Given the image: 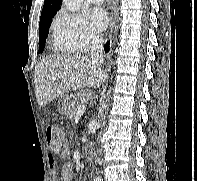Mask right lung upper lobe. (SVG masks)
<instances>
[{"instance_id": "obj_1", "label": "right lung upper lobe", "mask_w": 197, "mask_h": 181, "mask_svg": "<svg viewBox=\"0 0 197 181\" xmlns=\"http://www.w3.org/2000/svg\"><path fill=\"white\" fill-rule=\"evenodd\" d=\"M62 4V0H45L41 17L49 14H56Z\"/></svg>"}]
</instances>
